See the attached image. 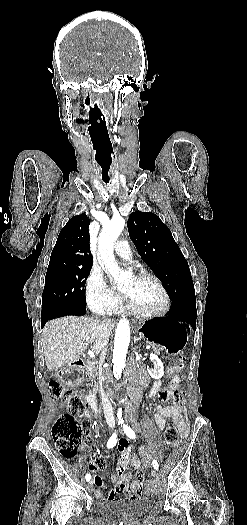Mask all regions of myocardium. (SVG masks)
Segmentation results:
<instances>
[{"label": "myocardium", "mask_w": 247, "mask_h": 525, "mask_svg": "<svg viewBox=\"0 0 247 525\" xmlns=\"http://www.w3.org/2000/svg\"><path fill=\"white\" fill-rule=\"evenodd\" d=\"M127 262L130 264L131 267L133 266L132 262H129V261ZM144 277L154 280L156 285L159 287V289L163 293L164 301H163V304L158 308H149L144 303L136 299L135 303L139 306L140 312L143 315H148V316L160 315V314L165 313L170 307V296H169L167 289L165 288L162 281L159 279V277L155 273L151 271L140 272V274L138 275V278H144Z\"/></svg>", "instance_id": "f54148a6"}]
</instances>
